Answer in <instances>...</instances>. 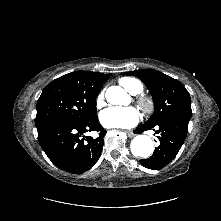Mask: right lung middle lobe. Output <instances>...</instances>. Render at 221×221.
Listing matches in <instances>:
<instances>
[{"label":"right lung middle lobe","mask_w":221,"mask_h":221,"mask_svg":"<svg viewBox=\"0 0 221 221\" xmlns=\"http://www.w3.org/2000/svg\"><path fill=\"white\" fill-rule=\"evenodd\" d=\"M97 94L67 75L53 80L43 89L37 102V130L52 123H82L96 118Z\"/></svg>","instance_id":"right-lung-middle-lobe-1"}]
</instances>
